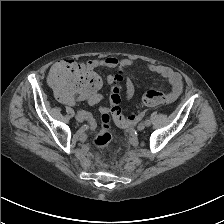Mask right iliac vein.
Returning a JSON list of instances; mask_svg holds the SVG:
<instances>
[{
  "instance_id": "right-iliac-vein-1",
  "label": "right iliac vein",
  "mask_w": 224,
  "mask_h": 224,
  "mask_svg": "<svg viewBox=\"0 0 224 224\" xmlns=\"http://www.w3.org/2000/svg\"><path fill=\"white\" fill-rule=\"evenodd\" d=\"M75 118L80 123H82L84 121V118L80 114H78V113L76 114V117Z\"/></svg>"
}]
</instances>
